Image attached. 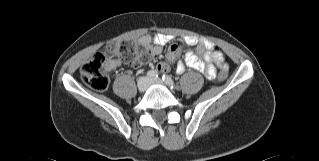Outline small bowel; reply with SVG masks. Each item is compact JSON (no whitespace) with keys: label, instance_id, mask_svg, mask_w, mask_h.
I'll list each match as a JSON object with an SVG mask.
<instances>
[{"label":"small bowel","instance_id":"1","mask_svg":"<svg viewBox=\"0 0 319 161\" xmlns=\"http://www.w3.org/2000/svg\"><path fill=\"white\" fill-rule=\"evenodd\" d=\"M168 37L164 34H154L151 36H145L140 39V43L147 47L150 56L154 57L162 52V45L168 42ZM184 41L189 46L196 45L195 50H189L186 52L184 60L179 61L176 66L178 74L185 72L186 67L203 72L204 76L208 80H214L216 78V66H222L227 70V65L224 62V56L221 51L214 48L213 44L204 40H198L194 36H186ZM199 55L203 56L201 60ZM175 58L174 53H169L167 61L160 62L158 68L162 71L169 69V61ZM119 66L118 62H113L111 67L116 68Z\"/></svg>","mask_w":319,"mask_h":161}]
</instances>
